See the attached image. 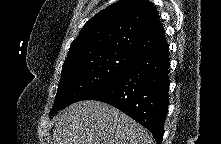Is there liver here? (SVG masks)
Instances as JSON below:
<instances>
[{"mask_svg":"<svg viewBox=\"0 0 221 144\" xmlns=\"http://www.w3.org/2000/svg\"><path fill=\"white\" fill-rule=\"evenodd\" d=\"M53 144H154L149 132L115 107L80 101L54 117Z\"/></svg>","mask_w":221,"mask_h":144,"instance_id":"obj_1","label":"liver"}]
</instances>
